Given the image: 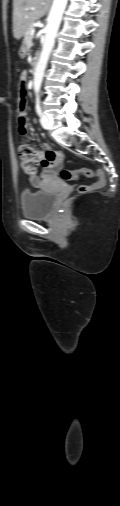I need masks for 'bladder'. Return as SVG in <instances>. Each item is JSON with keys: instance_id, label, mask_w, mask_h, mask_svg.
I'll list each match as a JSON object with an SVG mask.
<instances>
[{"instance_id": "obj_1", "label": "bladder", "mask_w": 120, "mask_h": 506, "mask_svg": "<svg viewBox=\"0 0 120 506\" xmlns=\"http://www.w3.org/2000/svg\"><path fill=\"white\" fill-rule=\"evenodd\" d=\"M55 200L56 193L52 191H24L20 196L22 215L30 219L48 217Z\"/></svg>"}]
</instances>
